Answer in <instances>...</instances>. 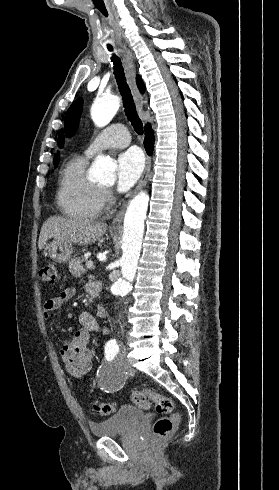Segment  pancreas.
I'll use <instances>...</instances> for the list:
<instances>
[{
  "label": "pancreas",
  "instance_id": "1",
  "mask_svg": "<svg viewBox=\"0 0 279 490\" xmlns=\"http://www.w3.org/2000/svg\"><path fill=\"white\" fill-rule=\"evenodd\" d=\"M81 264V258H75V260H71V262H69V272L71 276H74V278H81L82 274H85L86 270H84Z\"/></svg>",
  "mask_w": 279,
  "mask_h": 490
}]
</instances>
